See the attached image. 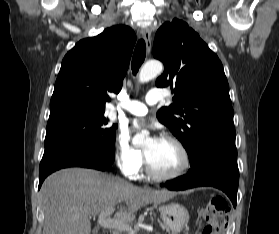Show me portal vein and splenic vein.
I'll return each instance as SVG.
<instances>
[{"instance_id":"obj_1","label":"portal vein and splenic vein","mask_w":279,"mask_h":234,"mask_svg":"<svg viewBox=\"0 0 279 234\" xmlns=\"http://www.w3.org/2000/svg\"><path fill=\"white\" fill-rule=\"evenodd\" d=\"M114 208H109L107 211L100 213L99 215V225L105 228H115L129 231L130 234H133V229L124 221L111 219L107 217L109 214L114 212Z\"/></svg>"}]
</instances>
